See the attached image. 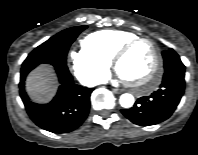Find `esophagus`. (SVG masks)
<instances>
[{"mask_svg":"<svg viewBox=\"0 0 198 155\" xmlns=\"http://www.w3.org/2000/svg\"><path fill=\"white\" fill-rule=\"evenodd\" d=\"M112 91L114 92V93H116V94H120L122 91L121 90H119V89H112Z\"/></svg>","mask_w":198,"mask_h":155,"instance_id":"obj_1","label":"esophagus"}]
</instances>
